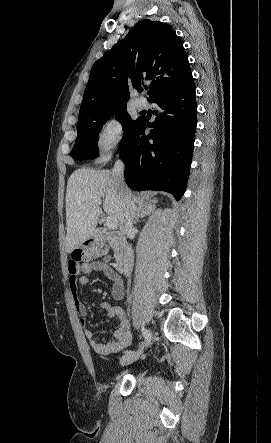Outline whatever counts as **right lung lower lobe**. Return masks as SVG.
Here are the masks:
<instances>
[{
  "label": "right lung lower lobe",
  "mask_w": 271,
  "mask_h": 443,
  "mask_svg": "<svg viewBox=\"0 0 271 443\" xmlns=\"http://www.w3.org/2000/svg\"><path fill=\"white\" fill-rule=\"evenodd\" d=\"M195 98L193 78L161 91L149 101L158 105L155 121L137 119L125 134L120 157L125 162L124 176L130 188L167 191L177 201L184 194L197 123ZM146 127L153 128L147 136Z\"/></svg>",
  "instance_id": "98d812e1"
}]
</instances>
